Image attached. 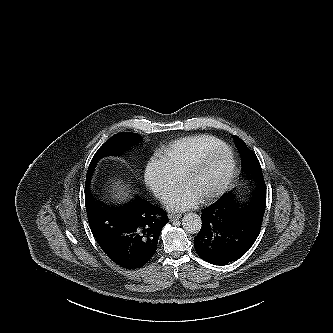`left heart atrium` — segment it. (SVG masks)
Instances as JSON below:
<instances>
[{
  "label": "left heart atrium",
  "instance_id": "left-heart-atrium-1",
  "mask_svg": "<svg viewBox=\"0 0 333 333\" xmlns=\"http://www.w3.org/2000/svg\"><path fill=\"white\" fill-rule=\"evenodd\" d=\"M200 198V195L192 188L184 185L167 194L164 204L170 210L183 211L194 207Z\"/></svg>",
  "mask_w": 333,
  "mask_h": 333
}]
</instances>
